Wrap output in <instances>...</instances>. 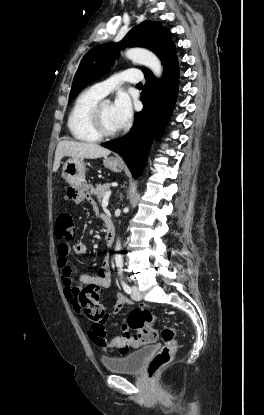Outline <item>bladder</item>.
Returning <instances> with one entry per match:
<instances>
[{
	"label": "bladder",
	"mask_w": 264,
	"mask_h": 415,
	"mask_svg": "<svg viewBox=\"0 0 264 415\" xmlns=\"http://www.w3.org/2000/svg\"><path fill=\"white\" fill-rule=\"evenodd\" d=\"M155 348V345H148L126 356L103 358L102 364L110 372L136 374L142 370L148 357L155 351Z\"/></svg>",
	"instance_id": "31cf9c89"
}]
</instances>
